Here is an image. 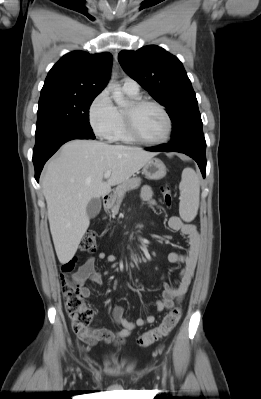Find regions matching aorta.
Here are the masks:
<instances>
[{"instance_id":"762f6f07","label":"aorta","mask_w":261,"mask_h":399,"mask_svg":"<svg viewBox=\"0 0 261 399\" xmlns=\"http://www.w3.org/2000/svg\"><path fill=\"white\" fill-rule=\"evenodd\" d=\"M108 87L112 90V97L118 106L124 107L127 104L123 93L121 92L120 86L111 78L108 83Z\"/></svg>"}]
</instances>
